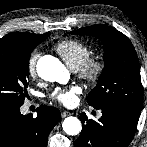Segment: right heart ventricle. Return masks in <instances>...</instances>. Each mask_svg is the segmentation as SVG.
<instances>
[{
	"instance_id": "obj_1",
	"label": "right heart ventricle",
	"mask_w": 147,
	"mask_h": 147,
	"mask_svg": "<svg viewBox=\"0 0 147 147\" xmlns=\"http://www.w3.org/2000/svg\"><path fill=\"white\" fill-rule=\"evenodd\" d=\"M55 51L72 70H78L91 54L88 44L77 39H64L55 45Z\"/></svg>"
}]
</instances>
